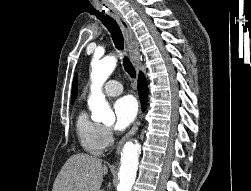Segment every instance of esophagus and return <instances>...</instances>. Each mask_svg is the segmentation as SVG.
Instances as JSON below:
<instances>
[{
  "label": "esophagus",
  "instance_id": "1",
  "mask_svg": "<svg viewBox=\"0 0 251 191\" xmlns=\"http://www.w3.org/2000/svg\"><path fill=\"white\" fill-rule=\"evenodd\" d=\"M109 15L114 17L116 21L119 23L122 29L124 38H125L126 49L129 53L130 59L132 63L136 65L139 60V48H138V44L136 42L134 33L129 26V23H127V21L125 20V18L122 16V14L119 11L109 12ZM139 123H140V119L134 124L131 130L128 133H126V135L123 136V138H121L116 148L117 155L120 153L123 145L134 135Z\"/></svg>",
  "mask_w": 251,
  "mask_h": 191
}]
</instances>
